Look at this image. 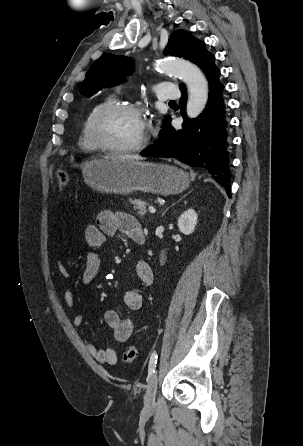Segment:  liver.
Wrapping results in <instances>:
<instances>
[{
  "mask_svg": "<svg viewBox=\"0 0 303 446\" xmlns=\"http://www.w3.org/2000/svg\"><path fill=\"white\" fill-rule=\"evenodd\" d=\"M108 159L117 160V159H132V160H142L143 158L138 155H121V156H112Z\"/></svg>",
  "mask_w": 303,
  "mask_h": 446,
  "instance_id": "1",
  "label": "liver"
}]
</instances>
